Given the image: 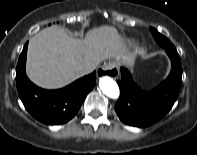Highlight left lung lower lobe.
Segmentation results:
<instances>
[{"label": "left lung lower lobe", "instance_id": "1", "mask_svg": "<svg viewBox=\"0 0 197 155\" xmlns=\"http://www.w3.org/2000/svg\"><path fill=\"white\" fill-rule=\"evenodd\" d=\"M165 51L171 59V72L150 92L141 90L128 69L121 68L120 97L115 111L123 123L135 127L150 126L164 117L177 100L182 82L181 61L176 49Z\"/></svg>", "mask_w": 197, "mask_h": 155}]
</instances>
